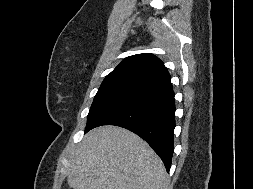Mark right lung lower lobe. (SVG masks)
<instances>
[{
    "mask_svg": "<svg viewBox=\"0 0 253 189\" xmlns=\"http://www.w3.org/2000/svg\"><path fill=\"white\" fill-rule=\"evenodd\" d=\"M175 99L172 85L148 92L105 118L89 130L100 125H116L129 129L142 137L162 159L169 172L173 156L175 128Z\"/></svg>",
    "mask_w": 253,
    "mask_h": 189,
    "instance_id": "obj_1",
    "label": "right lung lower lobe"
}]
</instances>
